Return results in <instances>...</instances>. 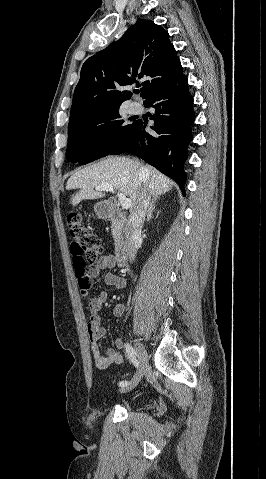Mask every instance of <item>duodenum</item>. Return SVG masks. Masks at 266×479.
I'll list each match as a JSON object with an SVG mask.
<instances>
[{
	"label": "duodenum",
	"instance_id": "duodenum-1",
	"mask_svg": "<svg viewBox=\"0 0 266 479\" xmlns=\"http://www.w3.org/2000/svg\"><path fill=\"white\" fill-rule=\"evenodd\" d=\"M121 229L128 222L127 217L119 208L116 201H109L104 211ZM129 258V247L126 241H121L120 246L115 253V264L118 267H124Z\"/></svg>",
	"mask_w": 266,
	"mask_h": 479
}]
</instances>
